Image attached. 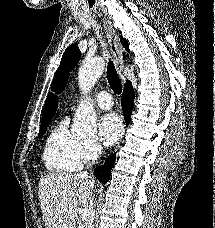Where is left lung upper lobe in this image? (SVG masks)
Instances as JSON below:
<instances>
[{
	"instance_id": "obj_1",
	"label": "left lung upper lobe",
	"mask_w": 215,
	"mask_h": 228,
	"mask_svg": "<svg viewBox=\"0 0 215 228\" xmlns=\"http://www.w3.org/2000/svg\"><path fill=\"white\" fill-rule=\"evenodd\" d=\"M121 42L125 46V48L128 49V43L126 39L121 37ZM81 57V52L78 48V44H72L70 45L64 52L61 63L59 68L57 69L53 83H52V89L56 92L60 93L67 82L69 72L77 65Z\"/></svg>"
}]
</instances>
